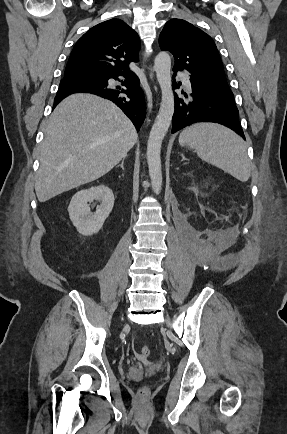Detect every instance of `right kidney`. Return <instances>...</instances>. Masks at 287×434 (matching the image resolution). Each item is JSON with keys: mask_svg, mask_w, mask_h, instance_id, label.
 Segmentation results:
<instances>
[{"mask_svg": "<svg viewBox=\"0 0 287 434\" xmlns=\"http://www.w3.org/2000/svg\"><path fill=\"white\" fill-rule=\"evenodd\" d=\"M97 200L100 206L95 213H91L88 202ZM114 206L112 190L99 185L77 192L68 206L70 220L77 231L85 236L96 234L103 226Z\"/></svg>", "mask_w": 287, "mask_h": 434, "instance_id": "ca27d5eb", "label": "right kidney"}]
</instances>
